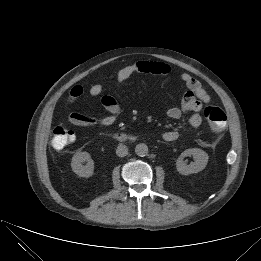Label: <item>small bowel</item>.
Instances as JSON below:
<instances>
[{"instance_id": "1", "label": "small bowel", "mask_w": 261, "mask_h": 261, "mask_svg": "<svg viewBox=\"0 0 261 261\" xmlns=\"http://www.w3.org/2000/svg\"><path fill=\"white\" fill-rule=\"evenodd\" d=\"M171 71L169 65L157 61H138L131 65L125 66L115 74L117 83L121 84L129 79L135 73H148L156 75H167ZM181 80L187 88L179 106L170 107L167 115L172 119H179L183 114L191 113L189 124L192 128H198L202 124L200 111L203 104L210 102V96L202 87L201 83L191 75L184 73ZM87 91L90 97L94 98L101 95L103 87L99 83H92L88 86ZM85 92L82 85H75L69 91V101L75 102ZM101 105L108 112L103 116H93L79 112H71L68 120L71 124L82 127L90 126H110L115 123L121 108L118 102L109 95L100 98ZM166 142H173L178 139L179 134L176 130H167L162 135Z\"/></svg>"}]
</instances>
